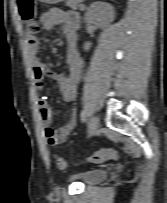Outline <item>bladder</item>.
Wrapping results in <instances>:
<instances>
[{
    "instance_id": "obj_1",
    "label": "bladder",
    "mask_w": 167,
    "mask_h": 203,
    "mask_svg": "<svg viewBox=\"0 0 167 203\" xmlns=\"http://www.w3.org/2000/svg\"><path fill=\"white\" fill-rule=\"evenodd\" d=\"M71 179L78 180L85 185H92L102 182L108 178V172L104 169H87L70 176Z\"/></svg>"
}]
</instances>
